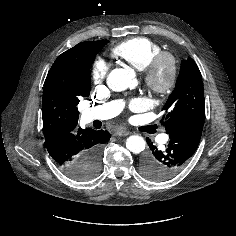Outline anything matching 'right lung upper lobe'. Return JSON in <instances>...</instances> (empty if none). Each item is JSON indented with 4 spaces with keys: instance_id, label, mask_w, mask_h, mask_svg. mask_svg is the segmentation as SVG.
<instances>
[{
    "instance_id": "obj_1",
    "label": "right lung upper lobe",
    "mask_w": 236,
    "mask_h": 236,
    "mask_svg": "<svg viewBox=\"0 0 236 236\" xmlns=\"http://www.w3.org/2000/svg\"><path fill=\"white\" fill-rule=\"evenodd\" d=\"M107 40L87 41L62 53L48 72L43 87L42 119L45 139L76 133L78 127L77 104L82 96L78 90V77L89 58Z\"/></svg>"
}]
</instances>
